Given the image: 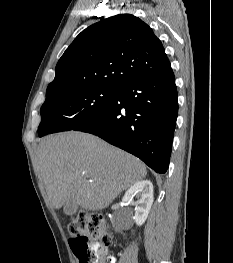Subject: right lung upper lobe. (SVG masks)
Returning <instances> with one entry per match:
<instances>
[{
  "instance_id": "cb5924a9",
  "label": "right lung upper lobe",
  "mask_w": 233,
  "mask_h": 263,
  "mask_svg": "<svg viewBox=\"0 0 233 263\" xmlns=\"http://www.w3.org/2000/svg\"><path fill=\"white\" fill-rule=\"evenodd\" d=\"M161 41L130 14L104 19L83 30L59 59L46 98L86 87L119 88L170 68Z\"/></svg>"
}]
</instances>
